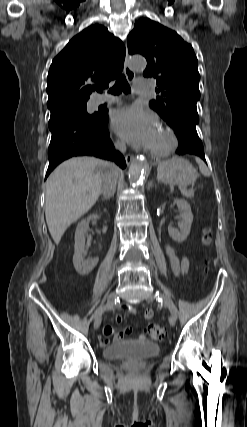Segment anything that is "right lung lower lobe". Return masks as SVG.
Here are the masks:
<instances>
[{
	"label": "right lung lower lobe",
	"instance_id": "1",
	"mask_svg": "<svg viewBox=\"0 0 247 427\" xmlns=\"http://www.w3.org/2000/svg\"><path fill=\"white\" fill-rule=\"evenodd\" d=\"M108 115L100 114L90 121L79 115L56 112L51 114L49 129L52 133L46 177L62 161L73 156H96L114 160L121 168L126 167L124 157L114 150L107 130Z\"/></svg>",
	"mask_w": 247,
	"mask_h": 427
}]
</instances>
